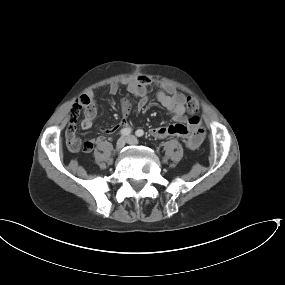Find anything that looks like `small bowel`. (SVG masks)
<instances>
[{
  "label": "small bowel",
  "instance_id": "obj_1",
  "mask_svg": "<svg viewBox=\"0 0 285 285\" xmlns=\"http://www.w3.org/2000/svg\"><path fill=\"white\" fill-rule=\"evenodd\" d=\"M151 83V79L147 76L141 75L137 78L130 80L126 83L127 91L138 98V108L142 109L146 107L149 103L148 97V86ZM119 84L112 83L108 87V93L110 95H115L119 91ZM86 94L93 101L95 94L92 90H87ZM157 101L165 107L169 112L173 114L174 123L167 126H158L150 129L149 133L153 138L163 139L171 136H179L183 138L184 144L187 149L195 150L203 142L206 132L202 125V120L198 115H191L187 117L186 113V97L181 92H175L172 88L168 89V92L160 91L156 95ZM121 109L123 118L111 129L107 130L101 128V131L105 133H114L118 130H122L127 127L126 117L130 113L131 102L128 99H123L121 101ZM96 110L94 107H90L85 112V118L83 119L81 125L84 129H90L93 127V119L95 117ZM70 124V123H69ZM76 125L75 123L66 129V143L69 151L71 152H90L93 148L94 143L100 139V137L88 139L84 141L81 148H77V145L73 139L75 134Z\"/></svg>",
  "mask_w": 285,
  "mask_h": 285
}]
</instances>
